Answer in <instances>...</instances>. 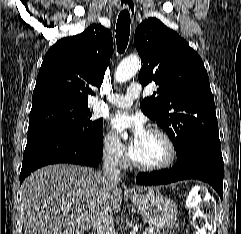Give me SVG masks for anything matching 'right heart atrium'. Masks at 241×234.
<instances>
[{
	"label": "right heart atrium",
	"instance_id": "right-heart-atrium-1",
	"mask_svg": "<svg viewBox=\"0 0 241 234\" xmlns=\"http://www.w3.org/2000/svg\"><path fill=\"white\" fill-rule=\"evenodd\" d=\"M102 151L106 159L116 164H122L127 155L124 144L109 132L103 135Z\"/></svg>",
	"mask_w": 241,
	"mask_h": 234
}]
</instances>
